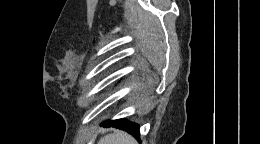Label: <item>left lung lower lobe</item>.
Wrapping results in <instances>:
<instances>
[{"label": "left lung lower lobe", "mask_w": 260, "mask_h": 144, "mask_svg": "<svg viewBox=\"0 0 260 144\" xmlns=\"http://www.w3.org/2000/svg\"><path fill=\"white\" fill-rule=\"evenodd\" d=\"M103 127H115L119 129H123L128 133L132 134L138 141H140V133H139V126L135 123H132L126 119H117L113 121H106L102 123Z\"/></svg>", "instance_id": "left-lung-lower-lobe-1"}]
</instances>
